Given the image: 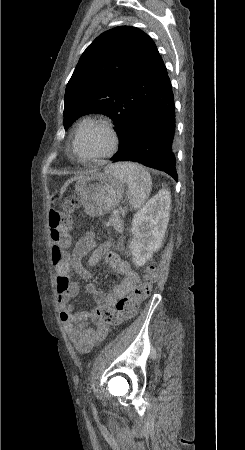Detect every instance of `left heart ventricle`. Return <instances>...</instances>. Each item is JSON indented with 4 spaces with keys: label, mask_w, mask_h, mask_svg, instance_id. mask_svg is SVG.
<instances>
[{
    "label": "left heart ventricle",
    "mask_w": 245,
    "mask_h": 450,
    "mask_svg": "<svg viewBox=\"0 0 245 450\" xmlns=\"http://www.w3.org/2000/svg\"><path fill=\"white\" fill-rule=\"evenodd\" d=\"M110 146L109 134L102 128L85 131L78 140L77 150L81 155L90 156L104 153Z\"/></svg>",
    "instance_id": "left-heart-ventricle-1"
}]
</instances>
